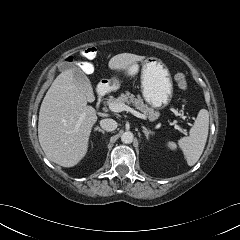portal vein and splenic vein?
I'll return each instance as SVG.
<instances>
[{
	"label": "portal vein and splenic vein",
	"instance_id": "18ae733b",
	"mask_svg": "<svg viewBox=\"0 0 240 240\" xmlns=\"http://www.w3.org/2000/svg\"><path fill=\"white\" fill-rule=\"evenodd\" d=\"M109 109L113 112H122L127 111L133 114L134 116L141 118V119H147V117L144 114H141L140 112L134 110L133 108L127 106L126 104H120V103H111L109 104ZM183 118V116H182ZM175 129L179 130L181 133L187 135V130L179 127L178 125L175 126Z\"/></svg>",
	"mask_w": 240,
	"mask_h": 240
}]
</instances>
